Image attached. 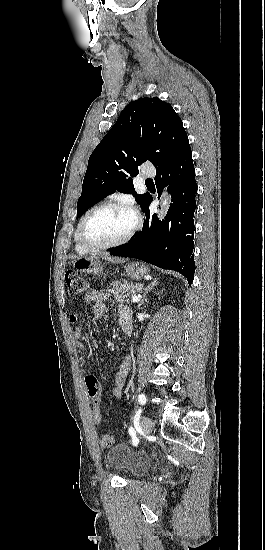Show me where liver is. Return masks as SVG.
Listing matches in <instances>:
<instances>
[{"mask_svg": "<svg viewBox=\"0 0 265 550\" xmlns=\"http://www.w3.org/2000/svg\"><path fill=\"white\" fill-rule=\"evenodd\" d=\"M112 262H115V263H121L122 260L121 259H110Z\"/></svg>", "mask_w": 265, "mask_h": 550, "instance_id": "6515ba94", "label": "liver"}]
</instances>
